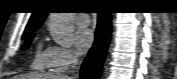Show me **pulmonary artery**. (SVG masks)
Here are the masks:
<instances>
[{
	"label": "pulmonary artery",
	"mask_w": 177,
	"mask_h": 79,
	"mask_svg": "<svg viewBox=\"0 0 177 79\" xmlns=\"http://www.w3.org/2000/svg\"><path fill=\"white\" fill-rule=\"evenodd\" d=\"M75 23L79 26H87L90 23L89 16L87 14H79L75 18Z\"/></svg>",
	"instance_id": "obj_1"
}]
</instances>
